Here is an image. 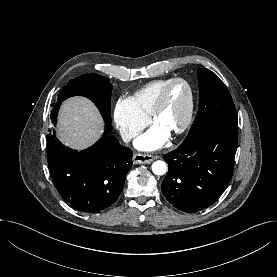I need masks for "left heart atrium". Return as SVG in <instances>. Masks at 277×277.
I'll use <instances>...</instances> for the list:
<instances>
[{"label":"left heart atrium","mask_w":277,"mask_h":277,"mask_svg":"<svg viewBox=\"0 0 277 277\" xmlns=\"http://www.w3.org/2000/svg\"><path fill=\"white\" fill-rule=\"evenodd\" d=\"M170 134L158 125H153L146 133L139 136L134 144L137 149L153 151L161 148L169 139Z\"/></svg>","instance_id":"1"}]
</instances>
